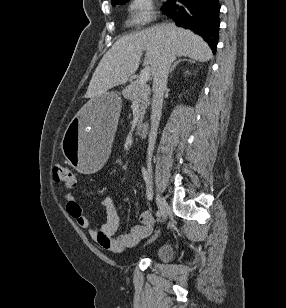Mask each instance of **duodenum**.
Here are the masks:
<instances>
[{"instance_id":"410a0bca","label":"duodenum","mask_w":286,"mask_h":308,"mask_svg":"<svg viewBox=\"0 0 286 308\" xmlns=\"http://www.w3.org/2000/svg\"><path fill=\"white\" fill-rule=\"evenodd\" d=\"M137 134L140 136V137H145L146 134H147V131H148V123L147 122H140L138 125H137Z\"/></svg>"}]
</instances>
